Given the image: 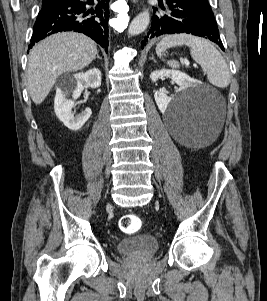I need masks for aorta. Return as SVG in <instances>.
I'll return each mask as SVG.
<instances>
[{
  "instance_id": "aorta-1",
  "label": "aorta",
  "mask_w": 267,
  "mask_h": 301,
  "mask_svg": "<svg viewBox=\"0 0 267 301\" xmlns=\"http://www.w3.org/2000/svg\"><path fill=\"white\" fill-rule=\"evenodd\" d=\"M150 22V13L148 10H144L139 13L128 28V35L134 36L144 32Z\"/></svg>"
}]
</instances>
